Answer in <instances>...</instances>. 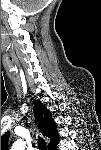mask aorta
I'll list each match as a JSON object with an SVG mask.
<instances>
[{
	"label": "aorta",
	"mask_w": 101,
	"mask_h": 150,
	"mask_svg": "<svg viewBox=\"0 0 101 150\" xmlns=\"http://www.w3.org/2000/svg\"><path fill=\"white\" fill-rule=\"evenodd\" d=\"M26 144L22 139H18L12 146V150H25Z\"/></svg>",
	"instance_id": "1"
}]
</instances>
